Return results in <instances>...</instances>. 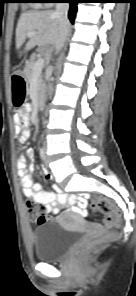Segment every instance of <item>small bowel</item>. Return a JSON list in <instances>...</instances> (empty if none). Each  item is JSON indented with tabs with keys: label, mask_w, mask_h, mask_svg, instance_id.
Segmentation results:
<instances>
[{
	"label": "small bowel",
	"mask_w": 136,
	"mask_h": 296,
	"mask_svg": "<svg viewBox=\"0 0 136 296\" xmlns=\"http://www.w3.org/2000/svg\"><path fill=\"white\" fill-rule=\"evenodd\" d=\"M30 110V105H25L14 115V122L22 128L18 137V141L20 143H24L30 137V129L28 128V115ZM27 155L35 157L34 152L28 150L21 154L17 159V170L24 197L41 204L47 213L56 215L63 208H70L73 212L85 216L87 214L85 210V198L80 197L78 203L76 204V198L74 196L44 189L35 181L34 167L28 165L26 158ZM43 172L47 180H52V175L47 170L43 169ZM48 221L53 222L55 221V218L47 217V222Z\"/></svg>",
	"instance_id": "obj_1"
}]
</instances>
